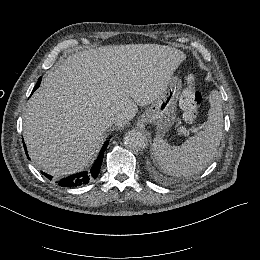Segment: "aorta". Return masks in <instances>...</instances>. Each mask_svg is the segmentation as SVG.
<instances>
[{
	"label": "aorta",
	"mask_w": 260,
	"mask_h": 260,
	"mask_svg": "<svg viewBox=\"0 0 260 260\" xmlns=\"http://www.w3.org/2000/svg\"><path fill=\"white\" fill-rule=\"evenodd\" d=\"M146 135L137 130L128 131L124 136L125 146L132 152L143 150L147 146Z\"/></svg>",
	"instance_id": "762f6f07"
}]
</instances>
